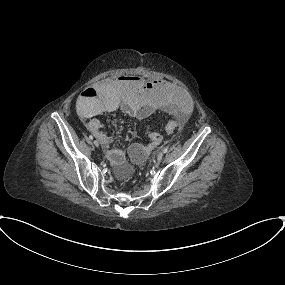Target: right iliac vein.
Instances as JSON below:
<instances>
[{"label": "right iliac vein", "instance_id": "obj_1", "mask_svg": "<svg viewBox=\"0 0 285 285\" xmlns=\"http://www.w3.org/2000/svg\"><path fill=\"white\" fill-rule=\"evenodd\" d=\"M94 145L96 146V147H98L99 146V142H98V140H94Z\"/></svg>", "mask_w": 285, "mask_h": 285}]
</instances>
